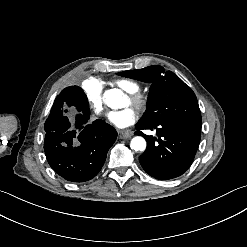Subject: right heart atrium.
Here are the masks:
<instances>
[{"label":"right heart atrium","mask_w":247,"mask_h":247,"mask_svg":"<svg viewBox=\"0 0 247 247\" xmlns=\"http://www.w3.org/2000/svg\"><path fill=\"white\" fill-rule=\"evenodd\" d=\"M82 90L91 105V111L95 114L100 113L103 109V98L106 92L105 85L98 79L89 77L84 81Z\"/></svg>","instance_id":"1"}]
</instances>
